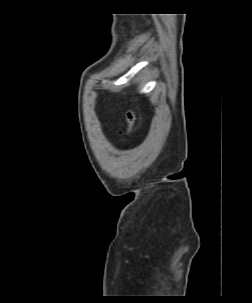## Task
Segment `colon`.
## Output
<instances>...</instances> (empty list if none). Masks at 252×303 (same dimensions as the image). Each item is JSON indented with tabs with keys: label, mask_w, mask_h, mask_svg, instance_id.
Here are the masks:
<instances>
[{
	"label": "colon",
	"mask_w": 252,
	"mask_h": 303,
	"mask_svg": "<svg viewBox=\"0 0 252 303\" xmlns=\"http://www.w3.org/2000/svg\"><path fill=\"white\" fill-rule=\"evenodd\" d=\"M136 121V114L132 109H129L126 112V116H125V124L122 128V133L126 136V137H131L133 134V130H134V124Z\"/></svg>",
	"instance_id": "obj_1"
}]
</instances>
